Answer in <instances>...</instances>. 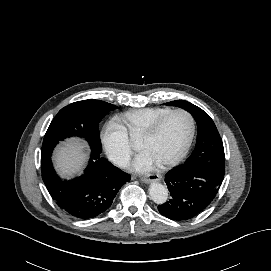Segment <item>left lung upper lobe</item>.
<instances>
[{
	"label": "left lung upper lobe",
	"mask_w": 271,
	"mask_h": 271,
	"mask_svg": "<svg viewBox=\"0 0 271 271\" xmlns=\"http://www.w3.org/2000/svg\"><path fill=\"white\" fill-rule=\"evenodd\" d=\"M167 104L187 110L192 114L198 126L195 149L183 165L225 175V155L222 139L209 115L201 108L184 100H175Z\"/></svg>",
	"instance_id": "5c2ea615"
}]
</instances>
